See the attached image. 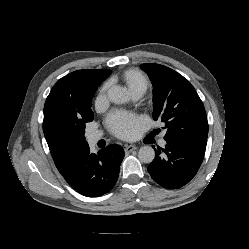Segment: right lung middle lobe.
<instances>
[{"mask_svg":"<svg viewBox=\"0 0 249 249\" xmlns=\"http://www.w3.org/2000/svg\"><path fill=\"white\" fill-rule=\"evenodd\" d=\"M92 98L91 97L88 105L87 111L84 113L83 116L75 118L69 127V132L70 134L78 139H81L82 141H85L84 133H85V124L87 122H91L94 118V114L91 110V103H92Z\"/></svg>","mask_w":249,"mask_h":249,"instance_id":"obj_1","label":"right lung middle lobe"}]
</instances>
